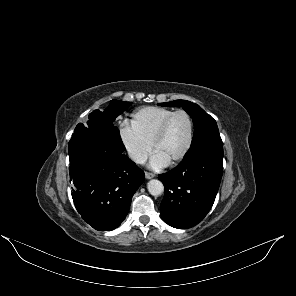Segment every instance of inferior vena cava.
Returning <instances> with one entry per match:
<instances>
[{
    "label": "inferior vena cava",
    "mask_w": 296,
    "mask_h": 296,
    "mask_svg": "<svg viewBox=\"0 0 296 296\" xmlns=\"http://www.w3.org/2000/svg\"><path fill=\"white\" fill-rule=\"evenodd\" d=\"M129 157L138 164H144L147 160V155L141 151L128 150Z\"/></svg>",
    "instance_id": "inferior-vena-cava-1"
}]
</instances>
